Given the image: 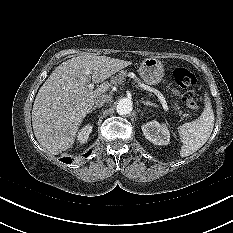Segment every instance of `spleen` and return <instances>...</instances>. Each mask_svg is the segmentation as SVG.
Here are the masks:
<instances>
[{
  "label": "spleen",
  "instance_id": "3e777b00",
  "mask_svg": "<svg viewBox=\"0 0 233 233\" xmlns=\"http://www.w3.org/2000/svg\"><path fill=\"white\" fill-rule=\"evenodd\" d=\"M214 112L210 97L204 96V109L198 119L178 127L182 142L180 156L187 157L199 150L209 139L214 127Z\"/></svg>",
  "mask_w": 233,
  "mask_h": 233
}]
</instances>
